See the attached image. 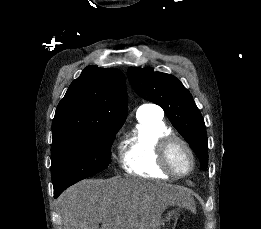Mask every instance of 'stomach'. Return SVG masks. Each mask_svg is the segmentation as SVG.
I'll list each match as a JSON object with an SVG mask.
<instances>
[{"instance_id": "0dacf381", "label": "stomach", "mask_w": 261, "mask_h": 229, "mask_svg": "<svg viewBox=\"0 0 261 229\" xmlns=\"http://www.w3.org/2000/svg\"><path fill=\"white\" fill-rule=\"evenodd\" d=\"M172 215H175V213H169V217H166V219H170V217H172Z\"/></svg>"}]
</instances>
